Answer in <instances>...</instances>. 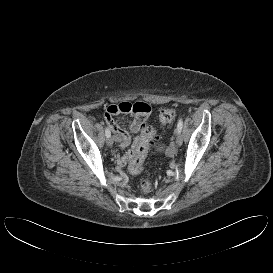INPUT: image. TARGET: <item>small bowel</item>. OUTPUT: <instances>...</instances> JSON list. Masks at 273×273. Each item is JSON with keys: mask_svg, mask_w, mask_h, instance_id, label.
Segmentation results:
<instances>
[{"mask_svg": "<svg viewBox=\"0 0 273 273\" xmlns=\"http://www.w3.org/2000/svg\"><path fill=\"white\" fill-rule=\"evenodd\" d=\"M151 113V107L144 102H121L119 104L109 105L104 113V118L108 126L110 127L114 140L117 142L120 149L127 148L131 145V149L125 154H117V162L119 165L124 166L130 161L135 145L138 143L141 135L140 132L144 127V124ZM118 114H131L134 119L130 125L131 133L136 137L132 140L129 133L123 130L115 121L114 116Z\"/></svg>", "mask_w": 273, "mask_h": 273, "instance_id": "small-bowel-1", "label": "small bowel"}]
</instances>
